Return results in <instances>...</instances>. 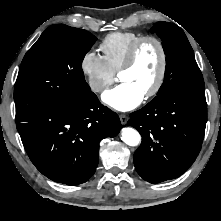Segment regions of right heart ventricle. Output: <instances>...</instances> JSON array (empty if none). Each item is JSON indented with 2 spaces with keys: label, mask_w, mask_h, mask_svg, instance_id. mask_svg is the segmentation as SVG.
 I'll return each instance as SVG.
<instances>
[{
  "label": "right heart ventricle",
  "mask_w": 221,
  "mask_h": 221,
  "mask_svg": "<svg viewBox=\"0 0 221 221\" xmlns=\"http://www.w3.org/2000/svg\"><path fill=\"white\" fill-rule=\"evenodd\" d=\"M141 36V34L136 32L118 31L108 34L102 40L99 48L103 53V58L114 73L120 70L130 47Z\"/></svg>",
  "instance_id": "1"
}]
</instances>
